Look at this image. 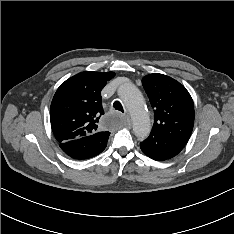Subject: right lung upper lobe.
<instances>
[{"instance_id":"cb5924a9","label":"right lung upper lobe","mask_w":234,"mask_h":234,"mask_svg":"<svg viewBox=\"0 0 234 234\" xmlns=\"http://www.w3.org/2000/svg\"><path fill=\"white\" fill-rule=\"evenodd\" d=\"M114 72L85 71L63 82L57 89L50 108V121L59 143L99 134V119L104 114L101 90Z\"/></svg>"}]
</instances>
